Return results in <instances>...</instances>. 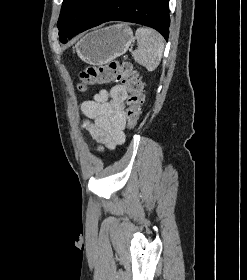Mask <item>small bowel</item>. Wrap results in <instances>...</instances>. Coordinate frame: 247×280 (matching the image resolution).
<instances>
[{"label": "small bowel", "mask_w": 247, "mask_h": 280, "mask_svg": "<svg viewBox=\"0 0 247 280\" xmlns=\"http://www.w3.org/2000/svg\"><path fill=\"white\" fill-rule=\"evenodd\" d=\"M127 94L123 85H116L109 92L102 90L93 100L82 104V111L89 119L85 127L99 144L100 151L104 147L114 149L125 141L124 101Z\"/></svg>", "instance_id": "obj_1"}]
</instances>
